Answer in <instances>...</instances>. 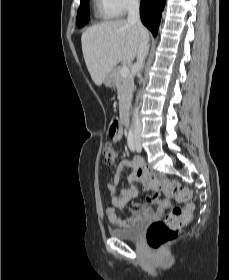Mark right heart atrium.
Masks as SVG:
<instances>
[{
	"mask_svg": "<svg viewBox=\"0 0 229 280\" xmlns=\"http://www.w3.org/2000/svg\"><path fill=\"white\" fill-rule=\"evenodd\" d=\"M139 1L140 0H101V3L114 17H122L128 11L135 9L139 5Z\"/></svg>",
	"mask_w": 229,
	"mask_h": 280,
	"instance_id": "1",
	"label": "right heart atrium"
}]
</instances>
